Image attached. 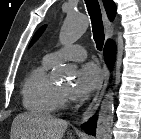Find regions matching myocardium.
<instances>
[{
    "instance_id": "1",
    "label": "myocardium",
    "mask_w": 141,
    "mask_h": 139,
    "mask_svg": "<svg viewBox=\"0 0 141 139\" xmlns=\"http://www.w3.org/2000/svg\"><path fill=\"white\" fill-rule=\"evenodd\" d=\"M58 93H59L60 101L64 102L66 99V91L62 90L61 88H58Z\"/></svg>"
}]
</instances>
